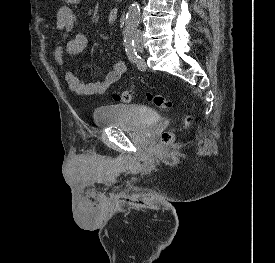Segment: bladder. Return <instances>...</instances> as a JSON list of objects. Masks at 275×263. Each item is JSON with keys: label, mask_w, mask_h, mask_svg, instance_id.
Returning <instances> with one entry per match:
<instances>
[{"label": "bladder", "mask_w": 275, "mask_h": 263, "mask_svg": "<svg viewBox=\"0 0 275 263\" xmlns=\"http://www.w3.org/2000/svg\"><path fill=\"white\" fill-rule=\"evenodd\" d=\"M92 115L99 127H116L126 131L153 126L159 121L158 112L144 105H102L95 108Z\"/></svg>", "instance_id": "1"}]
</instances>
